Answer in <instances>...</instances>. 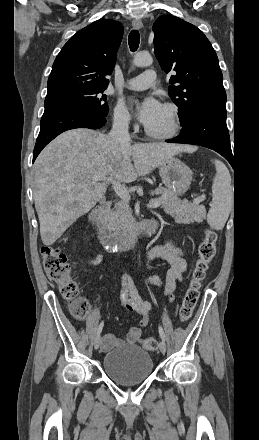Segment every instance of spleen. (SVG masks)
<instances>
[{
	"label": "spleen",
	"instance_id": "3e777b00",
	"mask_svg": "<svg viewBox=\"0 0 259 440\" xmlns=\"http://www.w3.org/2000/svg\"><path fill=\"white\" fill-rule=\"evenodd\" d=\"M216 175L212 185V204L207 214L208 224L215 230H222L233 206L231 176L225 164L214 160Z\"/></svg>",
	"mask_w": 259,
	"mask_h": 440
}]
</instances>
